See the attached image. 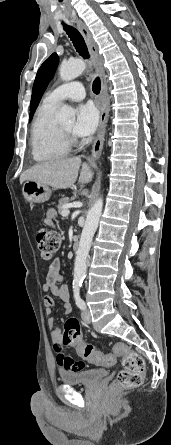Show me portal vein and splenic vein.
Wrapping results in <instances>:
<instances>
[{"label":"portal vein and splenic vein","instance_id":"1","mask_svg":"<svg viewBox=\"0 0 171 445\" xmlns=\"http://www.w3.org/2000/svg\"><path fill=\"white\" fill-rule=\"evenodd\" d=\"M69 213H70V211L68 209H64V210L61 211V215L63 217H67L69 215Z\"/></svg>","mask_w":171,"mask_h":445}]
</instances>
